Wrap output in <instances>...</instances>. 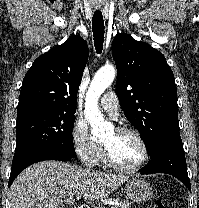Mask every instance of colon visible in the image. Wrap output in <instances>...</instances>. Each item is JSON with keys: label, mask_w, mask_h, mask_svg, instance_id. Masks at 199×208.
<instances>
[{"label": "colon", "mask_w": 199, "mask_h": 208, "mask_svg": "<svg viewBox=\"0 0 199 208\" xmlns=\"http://www.w3.org/2000/svg\"><path fill=\"white\" fill-rule=\"evenodd\" d=\"M152 208H167V206L164 202L157 200L152 204Z\"/></svg>", "instance_id": "colon-1"}]
</instances>
